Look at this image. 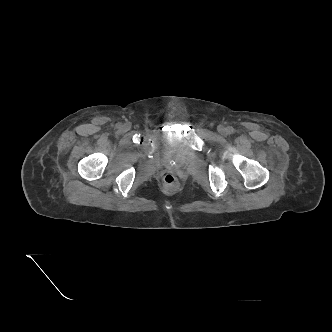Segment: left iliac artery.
Segmentation results:
<instances>
[{"mask_svg": "<svg viewBox=\"0 0 332 332\" xmlns=\"http://www.w3.org/2000/svg\"><path fill=\"white\" fill-rule=\"evenodd\" d=\"M228 133H230V134L234 133V129L232 127H229L228 128Z\"/></svg>", "mask_w": 332, "mask_h": 332, "instance_id": "left-iliac-artery-1", "label": "left iliac artery"}]
</instances>
